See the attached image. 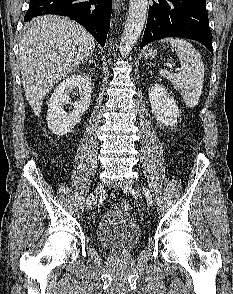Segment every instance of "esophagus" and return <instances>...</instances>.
Listing matches in <instances>:
<instances>
[{
	"mask_svg": "<svg viewBox=\"0 0 233 294\" xmlns=\"http://www.w3.org/2000/svg\"><path fill=\"white\" fill-rule=\"evenodd\" d=\"M121 7V0H113V8L115 11H119Z\"/></svg>",
	"mask_w": 233,
	"mask_h": 294,
	"instance_id": "esophagus-1",
	"label": "esophagus"
}]
</instances>
